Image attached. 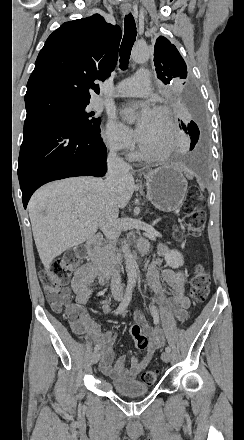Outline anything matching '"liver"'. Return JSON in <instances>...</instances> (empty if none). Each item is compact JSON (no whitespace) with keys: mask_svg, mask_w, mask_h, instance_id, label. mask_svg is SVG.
I'll return each instance as SVG.
<instances>
[{"mask_svg":"<svg viewBox=\"0 0 244 440\" xmlns=\"http://www.w3.org/2000/svg\"><path fill=\"white\" fill-rule=\"evenodd\" d=\"M133 172L121 178L113 192L118 208H125L134 194ZM106 188L101 178H66L50 182L33 194L28 212L33 238L45 268L65 250L95 236L105 208ZM79 220V224H75Z\"/></svg>","mask_w":244,"mask_h":440,"instance_id":"1","label":"liver"}]
</instances>
